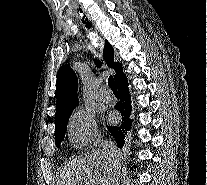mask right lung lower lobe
<instances>
[{
  "label": "right lung lower lobe",
  "instance_id": "right-lung-lower-lobe-1",
  "mask_svg": "<svg viewBox=\"0 0 207 185\" xmlns=\"http://www.w3.org/2000/svg\"><path fill=\"white\" fill-rule=\"evenodd\" d=\"M116 86L118 89L120 100L115 105V109L121 112L122 123L118 126H107V129L116 139L118 146L123 147L125 142L124 134H126L130 130L132 123V121L129 119L131 113V104L126 77L124 76L123 78L119 79L116 82Z\"/></svg>",
  "mask_w": 207,
  "mask_h": 185
}]
</instances>
